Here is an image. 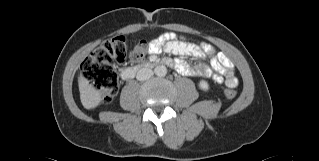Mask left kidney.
Masks as SVG:
<instances>
[{
    "label": "left kidney",
    "mask_w": 319,
    "mask_h": 161,
    "mask_svg": "<svg viewBox=\"0 0 319 161\" xmlns=\"http://www.w3.org/2000/svg\"><path fill=\"white\" fill-rule=\"evenodd\" d=\"M199 87H200L202 90H204V91L209 90V84H208V82L205 81V80H201V81L199 82Z\"/></svg>",
    "instance_id": "obj_1"
}]
</instances>
